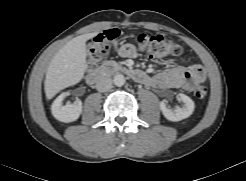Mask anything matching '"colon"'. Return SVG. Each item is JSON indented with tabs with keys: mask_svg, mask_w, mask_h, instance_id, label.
Here are the masks:
<instances>
[{
	"mask_svg": "<svg viewBox=\"0 0 246 181\" xmlns=\"http://www.w3.org/2000/svg\"><path fill=\"white\" fill-rule=\"evenodd\" d=\"M119 31L115 28L109 29L98 34L91 42L88 55V68L94 69L98 63L107 55L112 43L118 38ZM136 40L139 50L151 58H161L167 55H179L181 47L161 34H146L136 32L133 35ZM192 69L200 73L201 67L193 65ZM207 89L200 86L195 91L196 98L202 100L207 96Z\"/></svg>",
	"mask_w": 246,
	"mask_h": 181,
	"instance_id": "1",
	"label": "colon"
}]
</instances>
